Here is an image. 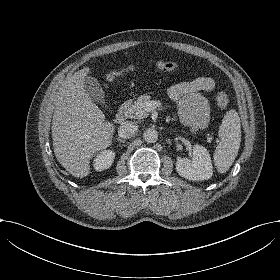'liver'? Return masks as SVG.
<instances>
[{"label": "liver", "instance_id": "liver-1", "mask_svg": "<svg viewBox=\"0 0 280 280\" xmlns=\"http://www.w3.org/2000/svg\"><path fill=\"white\" fill-rule=\"evenodd\" d=\"M88 70L69 75L55 96L52 138L55 155L68 172L84 177L91 155L111 143L113 128L87 96L83 79Z\"/></svg>", "mask_w": 280, "mask_h": 280}]
</instances>
